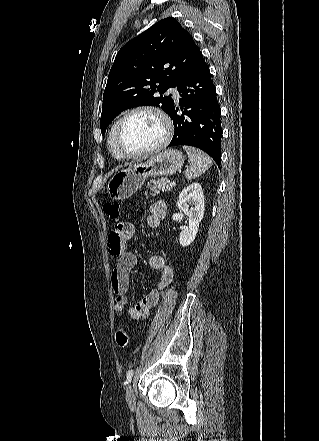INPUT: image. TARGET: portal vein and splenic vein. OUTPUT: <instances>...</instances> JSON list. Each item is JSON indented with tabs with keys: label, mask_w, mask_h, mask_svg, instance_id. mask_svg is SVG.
I'll list each match as a JSON object with an SVG mask.
<instances>
[{
	"label": "portal vein and splenic vein",
	"mask_w": 319,
	"mask_h": 441,
	"mask_svg": "<svg viewBox=\"0 0 319 441\" xmlns=\"http://www.w3.org/2000/svg\"><path fill=\"white\" fill-rule=\"evenodd\" d=\"M169 185H170L171 187H174V186L176 185V183L173 181V182H170Z\"/></svg>",
	"instance_id": "portal-vein-and-splenic-vein-1"
}]
</instances>
